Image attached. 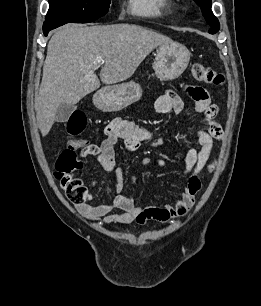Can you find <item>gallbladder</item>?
<instances>
[{"label": "gallbladder", "mask_w": 261, "mask_h": 306, "mask_svg": "<svg viewBox=\"0 0 261 306\" xmlns=\"http://www.w3.org/2000/svg\"><path fill=\"white\" fill-rule=\"evenodd\" d=\"M75 109L76 106L74 104H61L57 109L55 120L57 122H66Z\"/></svg>", "instance_id": "bac80fb5"}]
</instances>
